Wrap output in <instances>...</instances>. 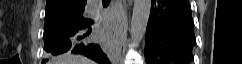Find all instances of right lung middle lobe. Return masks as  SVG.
Returning <instances> with one entry per match:
<instances>
[{"mask_svg":"<svg viewBox=\"0 0 242 64\" xmlns=\"http://www.w3.org/2000/svg\"><path fill=\"white\" fill-rule=\"evenodd\" d=\"M85 6L74 10H59L45 14L44 42L51 36L73 27L91 24L93 21L83 16Z\"/></svg>","mask_w":242,"mask_h":64,"instance_id":"right-lung-middle-lobe-1","label":"right lung middle lobe"}]
</instances>
